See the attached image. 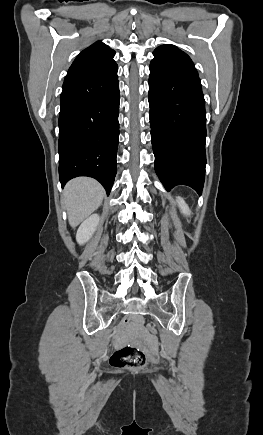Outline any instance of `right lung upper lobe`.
I'll list each match as a JSON object with an SVG mask.
<instances>
[{
    "instance_id": "obj_1",
    "label": "right lung upper lobe",
    "mask_w": 263,
    "mask_h": 435,
    "mask_svg": "<svg viewBox=\"0 0 263 435\" xmlns=\"http://www.w3.org/2000/svg\"><path fill=\"white\" fill-rule=\"evenodd\" d=\"M115 51L101 41L83 50L69 68L65 80L102 71L115 64Z\"/></svg>"
}]
</instances>
